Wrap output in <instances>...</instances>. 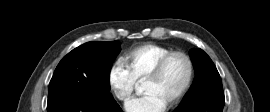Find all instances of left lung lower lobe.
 <instances>
[{
    "mask_svg": "<svg viewBox=\"0 0 270 112\" xmlns=\"http://www.w3.org/2000/svg\"><path fill=\"white\" fill-rule=\"evenodd\" d=\"M224 104V96L209 95L199 102L179 105L173 112H222Z\"/></svg>",
    "mask_w": 270,
    "mask_h": 112,
    "instance_id": "obj_1",
    "label": "left lung lower lobe"
}]
</instances>
